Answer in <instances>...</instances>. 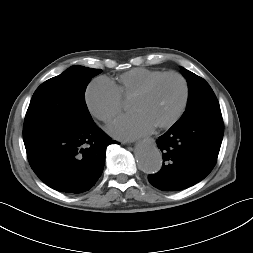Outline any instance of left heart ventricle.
<instances>
[{
    "label": "left heart ventricle",
    "instance_id": "left-heart-ventricle-1",
    "mask_svg": "<svg viewBox=\"0 0 253 253\" xmlns=\"http://www.w3.org/2000/svg\"><path fill=\"white\" fill-rule=\"evenodd\" d=\"M183 96V86L175 77H168L157 83L144 97L134 99L130 110L141 113L154 126L168 121L178 110Z\"/></svg>",
    "mask_w": 253,
    "mask_h": 253
}]
</instances>
